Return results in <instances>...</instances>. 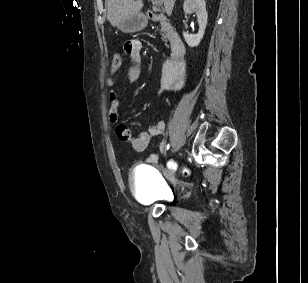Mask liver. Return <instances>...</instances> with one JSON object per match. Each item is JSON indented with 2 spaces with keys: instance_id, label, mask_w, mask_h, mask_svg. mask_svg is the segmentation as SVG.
I'll use <instances>...</instances> for the list:
<instances>
[{
  "instance_id": "liver-1",
  "label": "liver",
  "mask_w": 308,
  "mask_h": 283,
  "mask_svg": "<svg viewBox=\"0 0 308 283\" xmlns=\"http://www.w3.org/2000/svg\"><path fill=\"white\" fill-rule=\"evenodd\" d=\"M164 3L165 10L171 14L175 0H161ZM107 20L111 25L117 26L125 17L135 15L143 7L142 0H107Z\"/></svg>"
}]
</instances>
